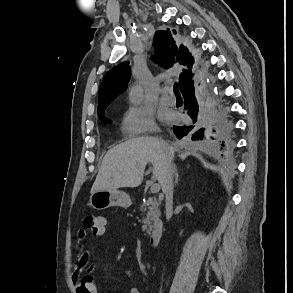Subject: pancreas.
Segmentation results:
<instances>
[{
  "label": "pancreas",
  "mask_w": 293,
  "mask_h": 293,
  "mask_svg": "<svg viewBox=\"0 0 293 293\" xmlns=\"http://www.w3.org/2000/svg\"><path fill=\"white\" fill-rule=\"evenodd\" d=\"M143 209L145 217L143 219V230H146L150 234L152 229V221L156 220L160 216L159 212V203L155 198L149 197L144 203L140 206Z\"/></svg>",
  "instance_id": "1"
}]
</instances>
